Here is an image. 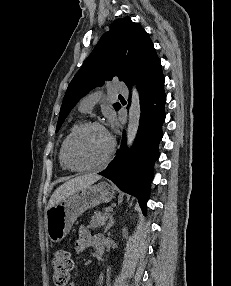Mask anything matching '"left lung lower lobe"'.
I'll return each mask as SVG.
<instances>
[{"label": "left lung lower lobe", "instance_id": "left-lung-lower-lobe-1", "mask_svg": "<svg viewBox=\"0 0 231 286\" xmlns=\"http://www.w3.org/2000/svg\"><path fill=\"white\" fill-rule=\"evenodd\" d=\"M140 94L141 117L134 146L126 149L125 136L120 150L108 167L99 174L110 179L122 191L138 198L146 213L153 165L159 157L158 144L165 120L164 76L160 59L153 61L134 80ZM131 89V84L128 86Z\"/></svg>", "mask_w": 231, "mask_h": 286}]
</instances>
